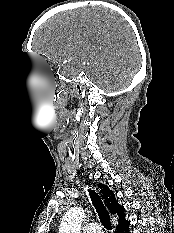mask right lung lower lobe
Here are the masks:
<instances>
[{"instance_id":"obj_1","label":"right lung lower lobe","mask_w":174,"mask_h":233,"mask_svg":"<svg viewBox=\"0 0 174 233\" xmlns=\"http://www.w3.org/2000/svg\"><path fill=\"white\" fill-rule=\"evenodd\" d=\"M128 227H129V224L124 226L121 229L116 230L115 233H129Z\"/></svg>"}]
</instances>
